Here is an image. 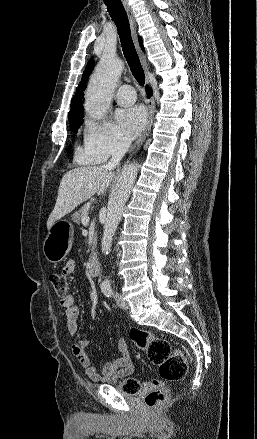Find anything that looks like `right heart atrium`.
<instances>
[{
  "mask_svg": "<svg viewBox=\"0 0 257 439\" xmlns=\"http://www.w3.org/2000/svg\"><path fill=\"white\" fill-rule=\"evenodd\" d=\"M126 147V137L112 121L87 119L83 126V146L77 157L86 163H102L122 154Z\"/></svg>",
  "mask_w": 257,
  "mask_h": 439,
  "instance_id": "obj_1",
  "label": "right heart atrium"
}]
</instances>
